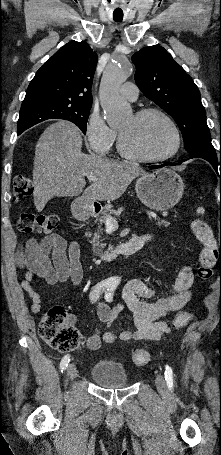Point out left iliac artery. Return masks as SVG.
Instances as JSON below:
<instances>
[{
  "label": "left iliac artery",
  "instance_id": "1",
  "mask_svg": "<svg viewBox=\"0 0 221 455\" xmlns=\"http://www.w3.org/2000/svg\"><path fill=\"white\" fill-rule=\"evenodd\" d=\"M115 288L113 286H109L106 290L105 293V299L106 301L110 302L113 299V294H114ZM165 380L167 382V386L169 389H172L173 387V371L172 368L168 365L165 366Z\"/></svg>",
  "mask_w": 221,
  "mask_h": 455
}]
</instances>
